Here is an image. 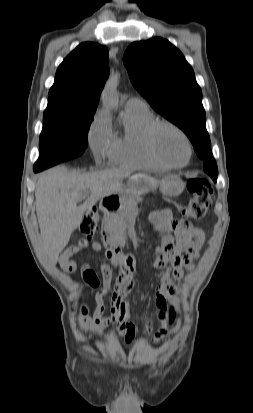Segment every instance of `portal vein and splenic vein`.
<instances>
[{"label":"portal vein and splenic vein","instance_id":"obj_1","mask_svg":"<svg viewBox=\"0 0 253 413\" xmlns=\"http://www.w3.org/2000/svg\"><path fill=\"white\" fill-rule=\"evenodd\" d=\"M88 195V193L87 192H85V193H83V194H81V198H84V197H86Z\"/></svg>","mask_w":253,"mask_h":413}]
</instances>
